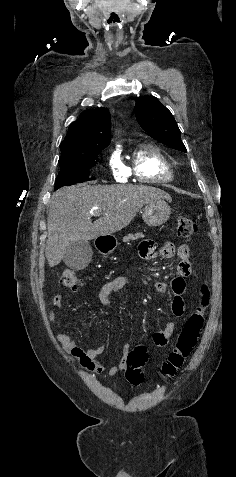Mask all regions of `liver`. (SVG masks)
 Masks as SVG:
<instances>
[{
  "label": "liver",
  "instance_id": "obj_1",
  "mask_svg": "<svg viewBox=\"0 0 236 477\" xmlns=\"http://www.w3.org/2000/svg\"><path fill=\"white\" fill-rule=\"evenodd\" d=\"M171 200L158 188L145 185L70 186L56 191L51 198L45 255L50 267L58 265L65 248L74 241L109 236L128 226L139 210L149 202ZM102 217L92 223L90 212Z\"/></svg>",
  "mask_w": 236,
  "mask_h": 477
}]
</instances>
